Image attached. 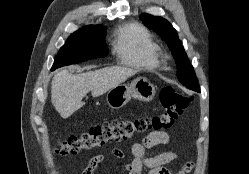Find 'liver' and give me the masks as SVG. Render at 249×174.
Masks as SVG:
<instances>
[{
	"label": "liver",
	"mask_w": 249,
	"mask_h": 174,
	"mask_svg": "<svg viewBox=\"0 0 249 174\" xmlns=\"http://www.w3.org/2000/svg\"><path fill=\"white\" fill-rule=\"evenodd\" d=\"M138 72L136 69L113 66L81 74L67 70L57 72L51 82V101L64 119L70 117L85 103L82 99L92 92L93 97L103 95Z\"/></svg>",
	"instance_id": "liver-1"
}]
</instances>
